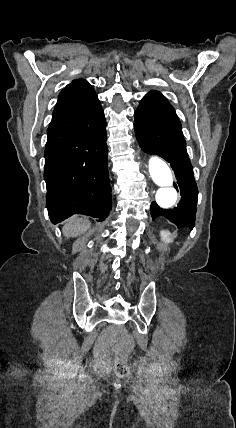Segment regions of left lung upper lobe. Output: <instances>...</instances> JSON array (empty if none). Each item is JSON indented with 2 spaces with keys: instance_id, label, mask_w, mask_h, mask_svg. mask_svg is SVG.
<instances>
[{
  "instance_id": "left-lung-upper-lobe-1",
  "label": "left lung upper lobe",
  "mask_w": 236,
  "mask_h": 428,
  "mask_svg": "<svg viewBox=\"0 0 236 428\" xmlns=\"http://www.w3.org/2000/svg\"><path fill=\"white\" fill-rule=\"evenodd\" d=\"M155 102L158 104L170 105L167 99L158 91H150L140 103Z\"/></svg>"
}]
</instances>
